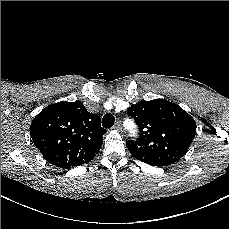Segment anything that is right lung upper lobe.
I'll list each match as a JSON object with an SVG mask.
<instances>
[{"label": "right lung upper lobe", "instance_id": "right-lung-upper-lobe-1", "mask_svg": "<svg viewBox=\"0 0 229 229\" xmlns=\"http://www.w3.org/2000/svg\"><path fill=\"white\" fill-rule=\"evenodd\" d=\"M97 114L78 101L58 102L43 109L32 121L30 135L45 160L70 168L89 162L99 151L106 130Z\"/></svg>", "mask_w": 229, "mask_h": 229}]
</instances>
